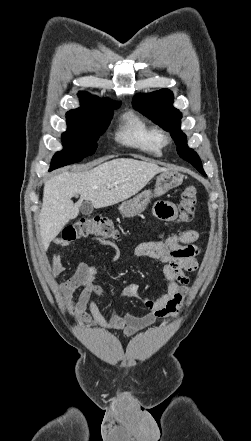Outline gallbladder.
<instances>
[{
	"label": "gallbladder",
	"mask_w": 251,
	"mask_h": 441,
	"mask_svg": "<svg viewBox=\"0 0 251 441\" xmlns=\"http://www.w3.org/2000/svg\"><path fill=\"white\" fill-rule=\"evenodd\" d=\"M80 211L83 215H90L93 212V205L89 201H85L80 206Z\"/></svg>",
	"instance_id": "obj_1"
}]
</instances>
